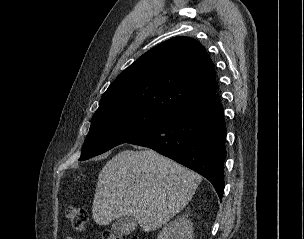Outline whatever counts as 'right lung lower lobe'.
<instances>
[{
    "instance_id": "obj_1",
    "label": "right lung lower lobe",
    "mask_w": 304,
    "mask_h": 239,
    "mask_svg": "<svg viewBox=\"0 0 304 239\" xmlns=\"http://www.w3.org/2000/svg\"><path fill=\"white\" fill-rule=\"evenodd\" d=\"M225 140L223 106L215 93L127 143L149 147L198 172L222 199Z\"/></svg>"
}]
</instances>
